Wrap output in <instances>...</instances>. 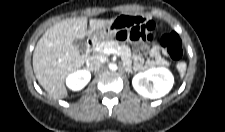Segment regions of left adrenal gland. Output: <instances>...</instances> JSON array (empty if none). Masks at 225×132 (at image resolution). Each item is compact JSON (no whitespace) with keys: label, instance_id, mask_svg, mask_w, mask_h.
Returning a JSON list of instances; mask_svg holds the SVG:
<instances>
[{"label":"left adrenal gland","instance_id":"left-adrenal-gland-1","mask_svg":"<svg viewBox=\"0 0 225 132\" xmlns=\"http://www.w3.org/2000/svg\"><path fill=\"white\" fill-rule=\"evenodd\" d=\"M125 70H126V72H128V73H132V70H131V68H129V67H125Z\"/></svg>","mask_w":225,"mask_h":132}]
</instances>
